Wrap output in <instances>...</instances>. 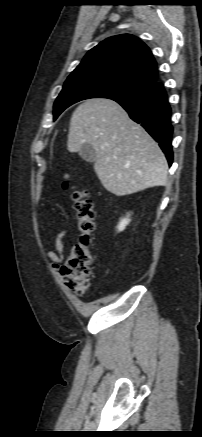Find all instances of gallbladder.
<instances>
[{
    "label": "gallbladder",
    "mask_w": 202,
    "mask_h": 437,
    "mask_svg": "<svg viewBox=\"0 0 202 437\" xmlns=\"http://www.w3.org/2000/svg\"><path fill=\"white\" fill-rule=\"evenodd\" d=\"M80 157L90 163L96 161V151L90 143H84L79 151Z\"/></svg>",
    "instance_id": "obj_1"
}]
</instances>
